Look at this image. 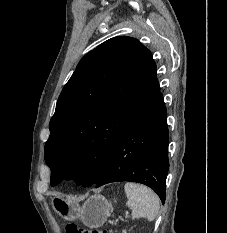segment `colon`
I'll return each mask as SVG.
<instances>
[{
	"label": "colon",
	"instance_id": "obj_1",
	"mask_svg": "<svg viewBox=\"0 0 227 233\" xmlns=\"http://www.w3.org/2000/svg\"><path fill=\"white\" fill-rule=\"evenodd\" d=\"M66 233H117V232L113 230L89 229V228H82L77 225H68L66 227Z\"/></svg>",
	"mask_w": 227,
	"mask_h": 233
}]
</instances>
